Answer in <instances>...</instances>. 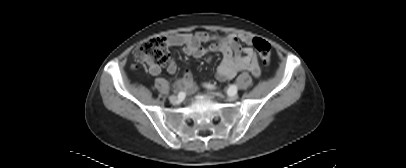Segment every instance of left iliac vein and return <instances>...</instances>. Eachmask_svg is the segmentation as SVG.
I'll return each instance as SVG.
<instances>
[{
    "mask_svg": "<svg viewBox=\"0 0 406 168\" xmlns=\"http://www.w3.org/2000/svg\"><path fill=\"white\" fill-rule=\"evenodd\" d=\"M227 99H228V101H235L238 99V94L237 93L229 94Z\"/></svg>",
    "mask_w": 406,
    "mask_h": 168,
    "instance_id": "4c4485c4",
    "label": "left iliac vein"
}]
</instances>
